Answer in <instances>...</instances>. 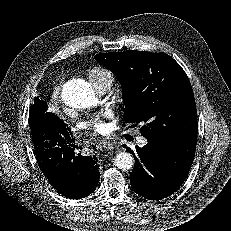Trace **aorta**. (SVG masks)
<instances>
[{
	"instance_id": "762f6f07",
	"label": "aorta",
	"mask_w": 231,
	"mask_h": 231,
	"mask_svg": "<svg viewBox=\"0 0 231 231\" xmlns=\"http://www.w3.org/2000/svg\"><path fill=\"white\" fill-rule=\"evenodd\" d=\"M63 102L72 108H87L95 104L96 97L91 85L83 79H71L62 89ZM116 166L127 171L134 166V158L129 152H120L115 157Z\"/></svg>"
}]
</instances>
